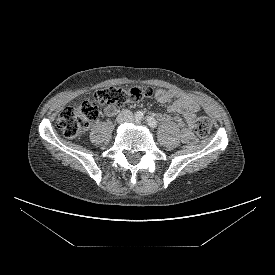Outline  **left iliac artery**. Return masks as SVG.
Masks as SVG:
<instances>
[{
	"label": "left iliac artery",
	"instance_id": "44dca946",
	"mask_svg": "<svg viewBox=\"0 0 275 275\" xmlns=\"http://www.w3.org/2000/svg\"><path fill=\"white\" fill-rule=\"evenodd\" d=\"M146 121H147V123H148V125H149L150 127H152V128L157 127V121H156L155 118H153V117H151V116H148V117L146 118Z\"/></svg>",
	"mask_w": 275,
	"mask_h": 275
}]
</instances>
